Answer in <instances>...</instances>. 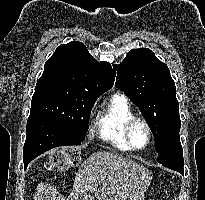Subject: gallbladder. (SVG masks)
<instances>
[{"instance_id":"1","label":"gallbladder","mask_w":205,"mask_h":200,"mask_svg":"<svg viewBox=\"0 0 205 200\" xmlns=\"http://www.w3.org/2000/svg\"><path fill=\"white\" fill-rule=\"evenodd\" d=\"M85 198V199H84ZM79 200H89L88 197L82 196Z\"/></svg>"}]
</instances>
